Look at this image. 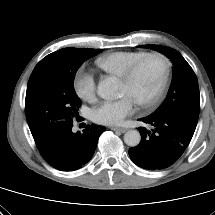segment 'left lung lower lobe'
I'll return each mask as SVG.
<instances>
[{
    "label": "left lung lower lobe",
    "mask_w": 215,
    "mask_h": 215,
    "mask_svg": "<svg viewBox=\"0 0 215 215\" xmlns=\"http://www.w3.org/2000/svg\"><path fill=\"white\" fill-rule=\"evenodd\" d=\"M139 120L152 129L139 127L141 142L129 149V156L137 166L148 170L171 166L189 145L197 125L177 115H149Z\"/></svg>",
    "instance_id": "obj_1"
}]
</instances>
